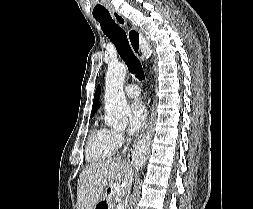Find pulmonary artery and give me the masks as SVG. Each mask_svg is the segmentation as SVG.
Instances as JSON below:
<instances>
[{
  "instance_id": "e3ab8cb5",
  "label": "pulmonary artery",
  "mask_w": 253,
  "mask_h": 209,
  "mask_svg": "<svg viewBox=\"0 0 253 209\" xmlns=\"http://www.w3.org/2000/svg\"><path fill=\"white\" fill-rule=\"evenodd\" d=\"M125 93L128 97L136 98L140 95V89L136 84H128L125 87Z\"/></svg>"
}]
</instances>
